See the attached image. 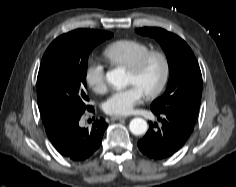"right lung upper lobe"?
<instances>
[{
  "label": "right lung upper lobe",
  "instance_id": "obj_1",
  "mask_svg": "<svg viewBox=\"0 0 236 187\" xmlns=\"http://www.w3.org/2000/svg\"><path fill=\"white\" fill-rule=\"evenodd\" d=\"M93 31H97V30L78 29V30L72 31V32H70V33L76 34V35H84V34H87V33L93 32ZM58 130H59V129L47 130L46 133H47L48 138H49L50 140H52V139L56 136Z\"/></svg>",
  "mask_w": 236,
  "mask_h": 187
}]
</instances>
